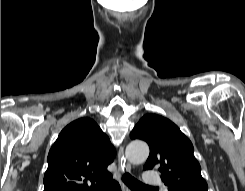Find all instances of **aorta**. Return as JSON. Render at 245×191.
<instances>
[{
  "label": "aorta",
  "instance_id": "obj_1",
  "mask_svg": "<svg viewBox=\"0 0 245 191\" xmlns=\"http://www.w3.org/2000/svg\"><path fill=\"white\" fill-rule=\"evenodd\" d=\"M125 154L131 163L140 164L148 158L149 147L143 141H132L127 145Z\"/></svg>",
  "mask_w": 245,
  "mask_h": 191
}]
</instances>
